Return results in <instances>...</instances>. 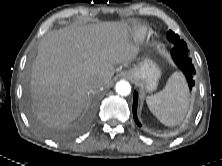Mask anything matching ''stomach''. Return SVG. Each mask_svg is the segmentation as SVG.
<instances>
[{
	"label": "stomach",
	"mask_w": 222,
	"mask_h": 166,
	"mask_svg": "<svg viewBox=\"0 0 222 166\" xmlns=\"http://www.w3.org/2000/svg\"><path fill=\"white\" fill-rule=\"evenodd\" d=\"M127 75L144 90L152 92L157 88L161 70L152 60L145 59L138 66L128 70Z\"/></svg>",
	"instance_id": "obj_1"
}]
</instances>
